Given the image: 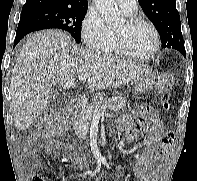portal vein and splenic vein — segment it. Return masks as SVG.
I'll return each instance as SVG.
<instances>
[{"instance_id": "portal-vein-and-splenic-vein-1", "label": "portal vein and splenic vein", "mask_w": 197, "mask_h": 181, "mask_svg": "<svg viewBox=\"0 0 197 181\" xmlns=\"http://www.w3.org/2000/svg\"><path fill=\"white\" fill-rule=\"evenodd\" d=\"M88 78V76L86 74H79L78 79L81 81H85ZM101 113L99 111V109H95L94 111V116H100Z\"/></svg>"}]
</instances>
